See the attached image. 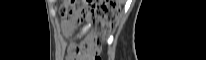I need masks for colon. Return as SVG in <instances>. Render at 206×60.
I'll return each mask as SVG.
<instances>
[{
	"label": "colon",
	"instance_id": "colon-1",
	"mask_svg": "<svg viewBox=\"0 0 206 60\" xmlns=\"http://www.w3.org/2000/svg\"><path fill=\"white\" fill-rule=\"evenodd\" d=\"M118 9L119 5L116 0H63L61 16L65 21H70L79 20L85 14H97L99 16L100 37H105L111 30ZM99 52V36L89 38L76 49L77 55L83 60H101Z\"/></svg>",
	"mask_w": 206,
	"mask_h": 60
}]
</instances>
